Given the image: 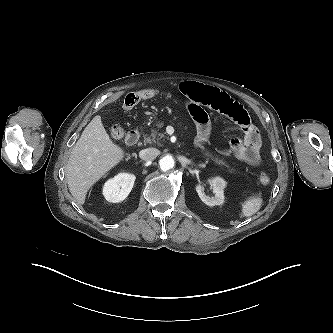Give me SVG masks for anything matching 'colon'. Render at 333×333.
<instances>
[{
	"mask_svg": "<svg viewBox=\"0 0 333 333\" xmlns=\"http://www.w3.org/2000/svg\"><path fill=\"white\" fill-rule=\"evenodd\" d=\"M159 94L158 90L155 89H145L133 93H129L125 96L124 101H123V109L125 111H130L134 107H136L140 101L145 100V99H150ZM110 134L114 139H121L124 136V131L122 127L119 125H113L110 129ZM259 181L266 185L270 182V177L265 174L261 173L259 176Z\"/></svg>",
	"mask_w": 333,
	"mask_h": 333,
	"instance_id": "colon-1",
	"label": "colon"
}]
</instances>
